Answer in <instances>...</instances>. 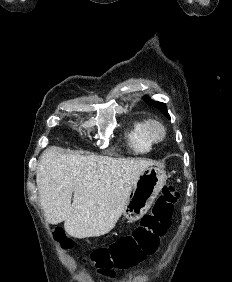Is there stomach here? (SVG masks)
<instances>
[{"instance_id": "0dacf381", "label": "stomach", "mask_w": 232, "mask_h": 282, "mask_svg": "<svg viewBox=\"0 0 232 282\" xmlns=\"http://www.w3.org/2000/svg\"><path fill=\"white\" fill-rule=\"evenodd\" d=\"M166 180V172L161 168L151 166L145 169L129 194L123 218L132 222L140 219L149 210Z\"/></svg>"}]
</instances>
